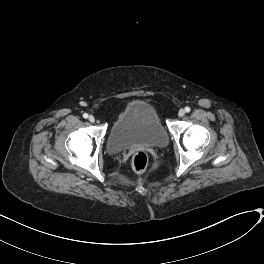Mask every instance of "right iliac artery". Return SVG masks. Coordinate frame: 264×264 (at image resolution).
<instances>
[{
  "mask_svg": "<svg viewBox=\"0 0 264 264\" xmlns=\"http://www.w3.org/2000/svg\"><path fill=\"white\" fill-rule=\"evenodd\" d=\"M83 117L86 119V118H88V114L87 113H84L83 114Z\"/></svg>",
  "mask_w": 264,
  "mask_h": 264,
  "instance_id": "right-iliac-artery-1",
  "label": "right iliac artery"
}]
</instances>
